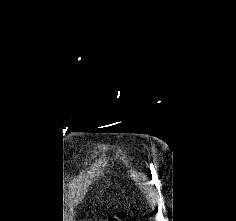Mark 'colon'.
I'll return each instance as SVG.
<instances>
[{
    "mask_svg": "<svg viewBox=\"0 0 236 221\" xmlns=\"http://www.w3.org/2000/svg\"><path fill=\"white\" fill-rule=\"evenodd\" d=\"M108 221H124V215L122 213H117L116 215L110 217Z\"/></svg>",
    "mask_w": 236,
    "mask_h": 221,
    "instance_id": "1",
    "label": "colon"
}]
</instances>
